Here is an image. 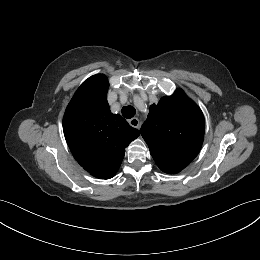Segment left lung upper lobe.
Wrapping results in <instances>:
<instances>
[{
	"label": "left lung upper lobe",
	"mask_w": 260,
	"mask_h": 260,
	"mask_svg": "<svg viewBox=\"0 0 260 260\" xmlns=\"http://www.w3.org/2000/svg\"><path fill=\"white\" fill-rule=\"evenodd\" d=\"M204 131L201 109L180 89L151 105L141 127L151 156L167 174L180 172L198 155Z\"/></svg>",
	"instance_id": "1"
}]
</instances>
